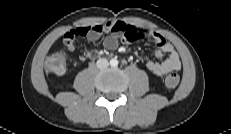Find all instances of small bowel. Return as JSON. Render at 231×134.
Listing matches in <instances>:
<instances>
[{"instance_id":"small-bowel-1","label":"small bowel","mask_w":231,"mask_h":134,"mask_svg":"<svg viewBox=\"0 0 231 134\" xmlns=\"http://www.w3.org/2000/svg\"><path fill=\"white\" fill-rule=\"evenodd\" d=\"M103 34L106 35L103 44L107 50L116 49L120 42L130 43L143 37L151 39L156 45V50L152 54L153 58L161 59L164 54H167V58L161 62L153 58L145 59L147 69L157 76H163L181 68V60L178 53L173 45L166 41L163 36L120 21L69 30L64 36V44L70 51H73L79 38L82 37L88 41H95ZM100 55L101 51L99 50H86L80 55V60H90Z\"/></svg>"}]
</instances>
